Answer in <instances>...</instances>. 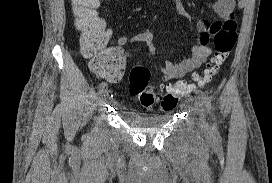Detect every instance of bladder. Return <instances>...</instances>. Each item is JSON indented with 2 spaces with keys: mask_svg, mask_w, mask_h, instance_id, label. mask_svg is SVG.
I'll return each mask as SVG.
<instances>
[{
  "mask_svg": "<svg viewBox=\"0 0 272 183\" xmlns=\"http://www.w3.org/2000/svg\"><path fill=\"white\" fill-rule=\"evenodd\" d=\"M122 117L128 125L143 130L162 128L170 121L169 114L139 115L134 112H123Z\"/></svg>",
  "mask_w": 272,
  "mask_h": 183,
  "instance_id": "1",
  "label": "bladder"
}]
</instances>
